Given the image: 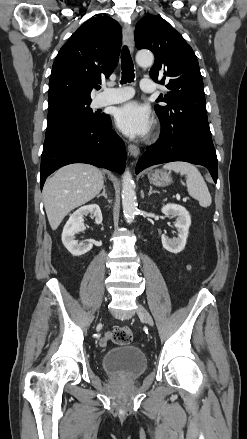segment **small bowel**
<instances>
[{
    "instance_id": "obj_1",
    "label": "small bowel",
    "mask_w": 247,
    "mask_h": 439,
    "mask_svg": "<svg viewBox=\"0 0 247 439\" xmlns=\"http://www.w3.org/2000/svg\"><path fill=\"white\" fill-rule=\"evenodd\" d=\"M109 338H110L109 333H107L104 337H102L99 341L100 346L105 347L108 343Z\"/></svg>"
}]
</instances>
